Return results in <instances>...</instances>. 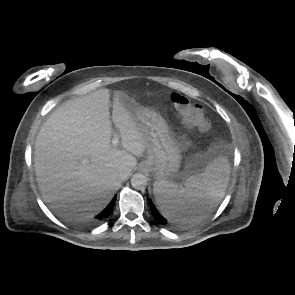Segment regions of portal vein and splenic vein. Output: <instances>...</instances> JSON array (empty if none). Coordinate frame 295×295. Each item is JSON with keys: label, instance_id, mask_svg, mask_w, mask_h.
I'll list each match as a JSON object with an SVG mask.
<instances>
[{"label": "portal vein and splenic vein", "instance_id": "1", "mask_svg": "<svg viewBox=\"0 0 295 295\" xmlns=\"http://www.w3.org/2000/svg\"><path fill=\"white\" fill-rule=\"evenodd\" d=\"M119 140H120L119 135H114V137L112 138V145L116 147L119 144Z\"/></svg>", "mask_w": 295, "mask_h": 295}]
</instances>
